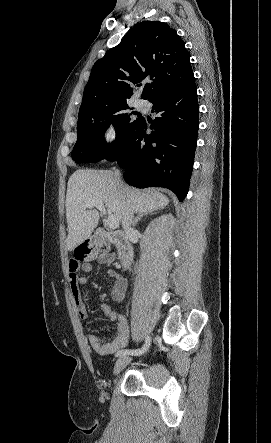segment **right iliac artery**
Returning <instances> with one entry per match:
<instances>
[{"label": "right iliac artery", "mask_w": 271, "mask_h": 443, "mask_svg": "<svg viewBox=\"0 0 271 443\" xmlns=\"http://www.w3.org/2000/svg\"><path fill=\"white\" fill-rule=\"evenodd\" d=\"M150 342H151V339L149 336H147L146 340H145V344L142 348L133 349V350L132 349L119 350L116 352V357H121V356H125V355H135V356L142 355L149 349Z\"/></svg>", "instance_id": "obj_1"}]
</instances>
